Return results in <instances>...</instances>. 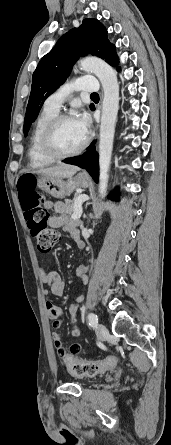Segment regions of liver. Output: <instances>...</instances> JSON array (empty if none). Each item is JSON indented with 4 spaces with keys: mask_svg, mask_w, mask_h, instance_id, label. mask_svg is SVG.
<instances>
[{
    "mask_svg": "<svg viewBox=\"0 0 171 445\" xmlns=\"http://www.w3.org/2000/svg\"><path fill=\"white\" fill-rule=\"evenodd\" d=\"M78 170H79V168L77 166L60 164V165L49 167V168L39 169V170L33 171V173H36L38 175L51 176V177L70 178Z\"/></svg>",
    "mask_w": 171,
    "mask_h": 445,
    "instance_id": "liver-1",
    "label": "liver"
}]
</instances>
